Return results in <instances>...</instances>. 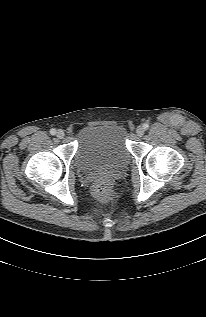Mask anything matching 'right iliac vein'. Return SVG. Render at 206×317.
Returning a JSON list of instances; mask_svg holds the SVG:
<instances>
[{
	"label": "right iliac vein",
	"instance_id": "obj_1",
	"mask_svg": "<svg viewBox=\"0 0 206 317\" xmlns=\"http://www.w3.org/2000/svg\"><path fill=\"white\" fill-rule=\"evenodd\" d=\"M56 136H57L59 139H62V138H64V136H65V132H64L62 129H59V130L56 132Z\"/></svg>",
	"mask_w": 206,
	"mask_h": 317
}]
</instances>
